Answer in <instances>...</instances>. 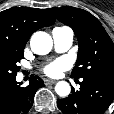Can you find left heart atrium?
Segmentation results:
<instances>
[{"instance_id": "obj_1", "label": "left heart atrium", "mask_w": 114, "mask_h": 114, "mask_svg": "<svg viewBox=\"0 0 114 114\" xmlns=\"http://www.w3.org/2000/svg\"><path fill=\"white\" fill-rule=\"evenodd\" d=\"M70 67V62L66 58L58 59L44 68L45 74L52 77H57L62 74L63 71Z\"/></svg>"}]
</instances>
